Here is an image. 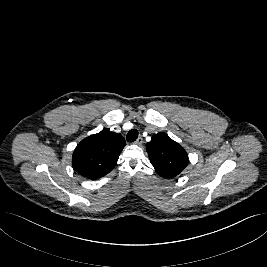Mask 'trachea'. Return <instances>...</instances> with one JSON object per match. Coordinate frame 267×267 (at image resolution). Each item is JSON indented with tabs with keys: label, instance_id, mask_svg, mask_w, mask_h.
Instances as JSON below:
<instances>
[{
	"label": "trachea",
	"instance_id": "obj_1",
	"mask_svg": "<svg viewBox=\"0 0 267 267\" xmlns=\"http://www.w3.org/2000/svg\"><path fill=\"white\" fill-rule=\"evenodd\" d=\"M138 137V131L136 129H132L127 133L126 139L128 142H134Z\"/></svg>",
	"mask_w": 267,
	"mask_h": 267
}]
</instances>
